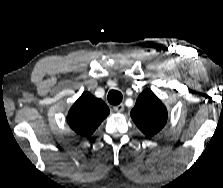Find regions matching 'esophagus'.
Segmentation results:
<instances>
[{"instance_id":"obj_1","label":"esophagus","mask_w":223,"mask_h":188,"mask_svg":"<svg viewBox=\"0 0 223 188\" xmlns=\"http://www.w3.org/2000/svg\"><path fill=\"white\" fill-rule=\"evenodd\" d=\"M113 110L116 113H122L124 111V105L123 104H119L113 107Z\"/></svg>"}]
</instances>
